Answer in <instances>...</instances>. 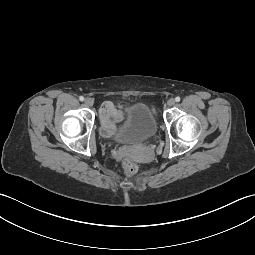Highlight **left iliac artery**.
<instances>
[{
  "label": "left iliac artery",
  "instance_id": "obj_1",
  "mask_svg": "<svg viewBox=\"0 0 255 255\" xmlns=\"http://www.w3.org/2000/svg\"><path fill=\"white\" fill-rule=\"evenodd\" d=\"M175 101H176V102H179V101H180V97H176V98H175Z\"/></svg>",
  "mask_w": 255,
  "mask_h": 255
}]
</instances>
